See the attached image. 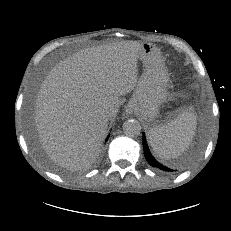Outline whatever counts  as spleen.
I'll list each match as a JSON object with an SVG mask.
<instances>
[{
  "label": "spleen",
  "instance_id": "3e777b00",
  "mask_svg": "<svg viewBox=\"0 0 231 231\" xmlns=\"http://www.w3.org/2000/svg\"><path fill=\"white\" fill-rule=\"evenodd\" d=\"M196 126L197 117L191 107L172 121L151 128L148 139L153 152L162 159L178 157L192 142Z\"/></svg>",
  "mask_w": 231,
  "mask_h": 231
}]
</instances>
